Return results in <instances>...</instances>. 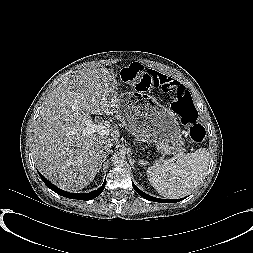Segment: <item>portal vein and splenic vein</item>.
Returning a JSON list of instances; mask_svg holds the SVG:
<instances>
[{"label":"portal vein and splenic vein","instance_id":"portal-vein-and-splenic-vein-1","mask_svg":"<svg viewBox=\"0 0 253 253\" xmlns=\"http://www.w3.org/2000/svg\"><path fill=\"white\" fill-rule=\"evenodd\" d=\"M85 125L84 134L98 133L102 136L109 135L111 132L110 127L103 124H96L90 119H83Z\"/></svg>","mask_w":253,"mask_h":253}]
</instances>
